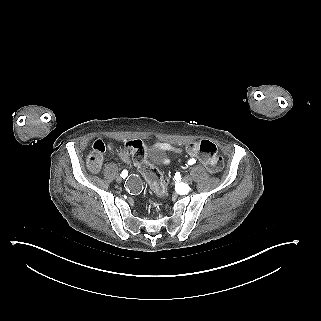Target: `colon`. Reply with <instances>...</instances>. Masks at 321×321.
Listing matches in <instances>:
<instances>
[{"instance_id":"obj_1","label":"colon","mask_w":321,"mask_h":321,"mask_svg":"<svg viewBox=\"0 0 321 321\" xmlns=\"http://www.w3.org/2000/svg\"><path fill=\"white\" fill-rule=\"evenodd\" d=\"M112 147L113 144L111 142L96 140L87 156L88 168L93 172L97 171L101 166L104 152ZM144 149V145L140 140H132L125 144V153H123L122 156L124 159H127L128 153H130L149 185L157 193L163 194L166 191L167 182L154 166L146 163L144 159ZM187 152L204 164L209 172L216 173L223 168V158L219 154L216 145L209 140H199L189 143Z\"/></svg>"}]
</instances>
